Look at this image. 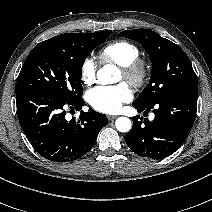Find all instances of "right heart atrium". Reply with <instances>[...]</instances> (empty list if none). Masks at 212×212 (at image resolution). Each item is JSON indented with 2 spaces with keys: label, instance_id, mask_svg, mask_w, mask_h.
<instances>
[{
  "label": "right heart atrium",
  "instance_id": "1",
  "mask_svg": "<svg viewBox=\"0 0 212 212\" xmlns=\"http://www.w3.org/2000/svg\"><path fill=\"white\" fill-rule=\"evenodd\" d=\"M80 76L82 82L87 86H90L96 82L97 65L92 58H86L83 61L80 69Z\"/></svg>",
  "mask_w": 212,
  "mask_h": 212
}]
</instances>
